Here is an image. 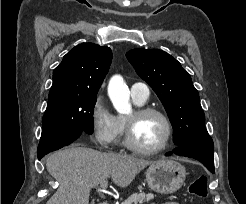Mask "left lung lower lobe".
Instances as JSON below:
<instances>
[{"label":"left lung lower lobe","mask_w":246,"mask_h":204,"mask_svg":"<svg viewBox=\"0 0 246 204\" xmlns=\"http://www.w3.org/2000/svg\"><path fill=\"white\" fill-rule=\"evenodd\" d=\"M214 144L209 134L190 139L173 151L166 153V156L175 153L177 155L186 156L199 160L203 165L212 173H214V156H213Z\"/></svg>","instance_id":"1"}]
</instances>
